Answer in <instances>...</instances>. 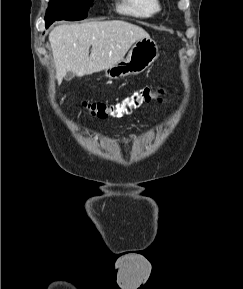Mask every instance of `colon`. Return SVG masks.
Instances as JSON below:
<instances>
[{
  "mask_svg": "<svg viewBox=\"0 0 243 289\" xmlns=\"http://www.w3.org/2000/svg\"><path fill=\"white\" fill-rule=\"evenodd\" d=\"M163 95L164 91L162 89L143 87L113 104L83 101L82 105L93 116L101 119L108 117L122 118L130 115L144 103H148L154 99L163 100Z\"/></svg>",
  "mask_w": 243,
  "mask_h": 289,
  "instance_id": "5ec220e1",
  "label": "colon"
}]
</instances>
